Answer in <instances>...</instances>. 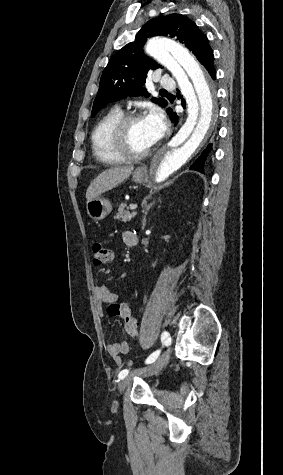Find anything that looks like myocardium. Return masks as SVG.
I'll use <instances>...</instances> for the list:
<instances>
[{"mask_svg":"<svg viewBox=\"0 0 283 475\" xmlns=\"http://www.w3.org/2000/svg\"><path fill=\"white\" fill-rule=\"evenodd\" d=\"M141 117L142 114L139 111L125 113L112 127L106 145L111 143H119L121 145L126 144L131 124ZM154 149L155 146L153 145V147L142 154H133L128 157H110L101 149L99 151V157L103 162H133V164H135L143 162L150 157Z\"/></svg>","mask_w":283,"mask_h":475,"instance_id":"obj_1","label":"myocardium"}]
</instances>
